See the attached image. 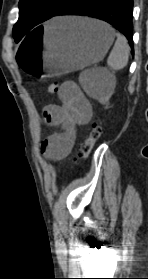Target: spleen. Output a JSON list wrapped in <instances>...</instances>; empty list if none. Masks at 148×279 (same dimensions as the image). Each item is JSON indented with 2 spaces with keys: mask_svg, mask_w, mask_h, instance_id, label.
Returning <instances> with one entry per match:
<instances>
[{
  "mask_svg": "<svg viewBox=\"0 0 148 279\" xmlns=\"http://www.w3.org/2000/svg\"><path fill=\"white\" fill-rule=\"evenodd\" d=\"M116 36L117 40L111 50L107 63L111 69L121 70L128 63L130 47L123 35L116 33ZM93 73L94 70H86L80 74L79 81L84 90L92 97H103L109 94L113 89V84L96 79Z\"/></svg>",
  "mask_w": 148,
  "mask_h": 279,
  "instance_id": "3e777b00",
  "label": "spleen"
}]
</instances>
